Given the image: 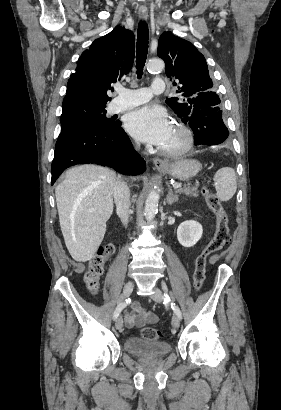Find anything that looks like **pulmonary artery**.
Here are the masks:
<instances>
[{"mask_svg":"<svg viewBox=\"0 0 281 410\" xmlns=\"http://www.w3.org/2000/svg\"><path fill=\"white\" fill-rule=\"evenodd\" d=\"M166 85L163 79L155 78L150 88L127 89L117 86L118 97L112 103V110L115 113L132 109L150 100L152 94H159L165 91Z\"/></svg>","mask_w":281,"mask_h":410,"instance_id":"e3ab8cb5","label":"pulmonary artery"}]
</instances>
